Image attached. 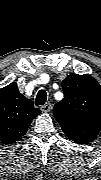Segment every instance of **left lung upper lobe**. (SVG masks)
<instances>
[{"mask_svg": "<svg viewBox=\"0 0 101 180\" xmlns=\"http://www.w3.org/2000/svg\"><path fill=\"white\" fill-rule=\"evenodd\" d=\"M64 98L53 114L74 142L88 144L101 130V86L90 75H69L62 81Z\"/></svg>", "mask_w": 101, "mask_h": 180, "instance_id": "obj_1", "label": "left lung upper lobe"}]
</instances>
